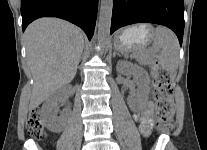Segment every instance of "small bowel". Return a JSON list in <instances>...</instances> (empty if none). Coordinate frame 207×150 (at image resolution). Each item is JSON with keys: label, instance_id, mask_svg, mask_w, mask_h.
Segmentation results:
<instances>
[{"label": "small bowel", "instance_id": "obj_1", "mask_svg": "<svg viewBox=\"0 0 207 150\" xmlns=\"http://www.w3.org/2000/svg\"><path fill=\"white\" fill-rule=\"evenodd\" d=\"M152 103H149L147 111L143 115H135V119L139 123V129L145 136L150 134L153 126Z\"/></svg>", "mask_w": 207, "mask_h": 150}]
</instances>
